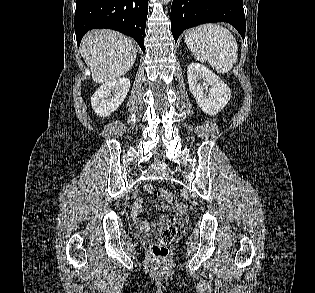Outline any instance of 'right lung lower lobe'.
Wrapping results in <instances>:
<instances>
[{
	"mask_svg": "<svg viewBox=\"0 0 315 293\" xmlns=\"http://www.w3.org/2000/svg\"><path fill=\"white\" fill-rule=\"evenodd\" d=\"M147 14L148 0H76L77 44L87 31L108 28L133 37L144 52Z\"/></svg>",
	"mask_w": 315,
	"mask_h": 293,
	"instance_id": "1",
	"label": "right lung lower lobe"
}]
</instances>
